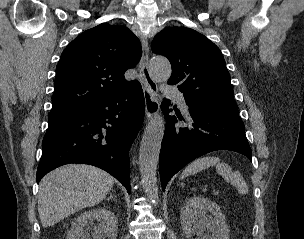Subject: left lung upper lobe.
<instances>
[{"mask_svg":"<svg viewBox=\"0 0 304 239\" xmlns=\"http://www.w3.org/2000/svg\"><path fill=\"white\" fill-rule=\"evenodd\" d=\"M152 51L169 59L168 84L177 85L188 106L238 115L224 57L204 35L186 27H167L154 37Z\"/></svg>","mask_w":304,"mask_h":239,"instance_id":"1","label":"left lung upper lobe"}]
</instances>
